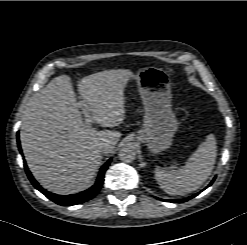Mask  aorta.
<instances>
[{
	"instance_id": "obj_1",
	"label": "aorta",
	"mask_w": 247,
	"mask_h": 245,
	"mask_svg": "<svg viewBox=\"0 0 247 245\" xmlns=\"http://www.w3.org/2000/svg\"><path fill=\"white\" fill-rule=\"evenodd\" d=\"M119 159L124 163H131L136 158V150L133 146H124L119 151Z\"/></svg>"
}]
</instances>
